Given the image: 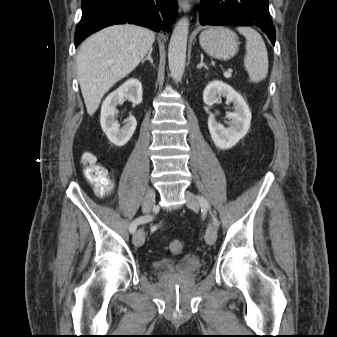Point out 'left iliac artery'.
Segmentation results:
<instances>
[{"mask_svg":"<svg viewBox=\"0 0 337 337\" xmlns=\"http://www.w3.org/2000/svg\"><path fill=\"white\" fill-rule=\"evenodd\" d=\"M199 199H200V202H201L202 206L210 207L208 201L205 198L199 197ZM214 222H215V225L218 226L219 223H218V220L216 219V217H214Z\"/></svg>","mask_w":337,"mask_h":337,"instance_id":"1","label":"left iliac artery"}]
</instances>
